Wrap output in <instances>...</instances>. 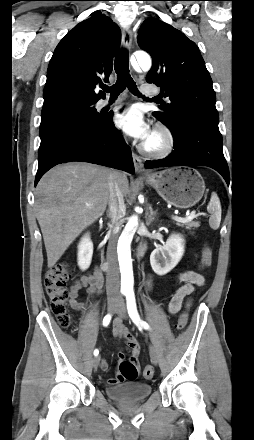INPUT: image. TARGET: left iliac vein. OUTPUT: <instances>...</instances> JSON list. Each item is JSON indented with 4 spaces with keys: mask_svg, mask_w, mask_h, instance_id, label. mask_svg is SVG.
Masks as SVG:
<instances>
[{
    "mask_svg": "<svg viewBox=\"0 0 254 440\" xmlns=\"http://www.w3.org/2000/svg\"><path fill=\"white\" fill-rule=\"evenodd\" d=\"M116 313L118 314V316L120 318H123V319L127 318L125 305H124V302L122 300L119 302V304L116 307ZM150 357H151V361L154 364H158V362H159V353H158V350L154 346H150Z\"/></svg>",
    "mask_w": 254,
    "mask_h": 440,
    "instance_id": "left-iliac-vein-1",
    "label": "left iliac vein"
}]
</instances>
